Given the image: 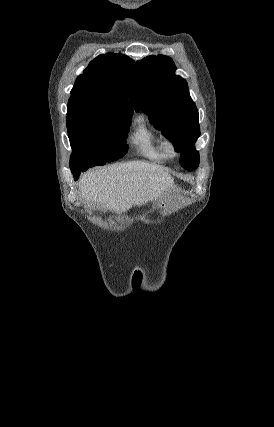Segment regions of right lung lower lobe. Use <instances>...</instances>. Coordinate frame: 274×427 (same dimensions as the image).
<instances>
[{
    "instance_id": "1",
    "label": "right lung lower lobe",
    "mask_w": 274,
    "mask_h": 427,
    "mask_svg": "<svg viewBox=\"0 0 274 427\" xmlns=\"http://www.w3.org/2000/svg\"><path fill=\"white\" fill-rule=\"evenodd\" d=\"M70 168H71V171L74 175L75 180L78 179L81 171H86L88 169V168H85L83 166H70Z\"/></svg>"
}]
</instances>
